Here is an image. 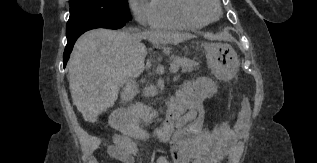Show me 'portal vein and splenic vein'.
<instances>
[{"label": "portal vein and splenic vein", "instance_id": "1", "mask_svg": "<svg viewBox=\"0 0 317 163\" xmlns=\"http://www.w3.org/2000/svg\"><path fill=\"white\" fill-rule=\"evenodd\" d=\"M177 69H178V68L173 67V66H171V68H170V70H171L172 72H176V71H177Z\"/></svg>", "mask_w": 317, "mask_h": 163}]
</instances>
